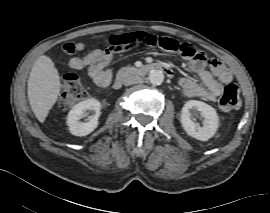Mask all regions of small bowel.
<instances>
[{
  "label": "small bowel",
  "instance_id": "c3829d8e",
  "mask_svg": "<svg viewBox=\"0 0 270 213\" xmlns=\"http://www.w3.org/2000/svg\"><path fill=\"white\" fill-rule=\"evenodd\" d=\"M194 51H198L191 46ZM85 50L83 42L66 43L62 51L65 55L72 56L69 60V67L72 70H81L87 67L88 75L95 85L101 88H107L113 79V74L107 68V64L112 60L113 55L105 53L102 49L94 48L84 55H76ZM188 67L197 73L200 83L193 78L185 77L180 80L182 93L187 97H203L209 100L216 99L224 90V86L233 80V76L226 69V75L219 76L217 70L223 67L218 60H213L210 64L211 70L206 69L205 63L186 56ZM170 70L174 73V68L168 64Z\"/></svg>",
  "mask_w": 270,
  "mask_h": 213
}]
</instances>
